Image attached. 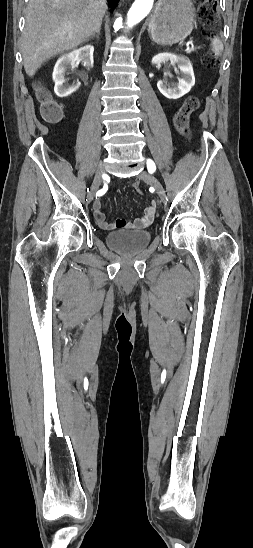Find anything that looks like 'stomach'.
<instances>
[{"label":"stomach","mask_w":253,"mask_h":548,"mask_svg":"<svg viewBox=\"0 0 253 548\" xmlns=\"http://www.w3.org/2000/svg\"><path fill=\"white\" fill-rule=\"evenodd\" d=\"M195 8L191 0H160L149 21L148 32L160 45L183 41L193 30Z\"/></svg>","instance_id":"0dacf381"}]
</instances>
